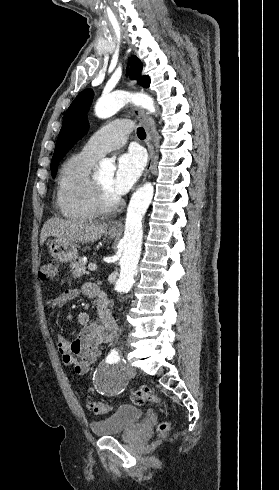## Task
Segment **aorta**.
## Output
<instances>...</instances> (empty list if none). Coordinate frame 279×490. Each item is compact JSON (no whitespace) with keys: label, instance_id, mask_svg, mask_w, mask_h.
Instances as JSON below:
<instances>
[{"label":"aorta","instance_id":"1","mask_svg":"<svg viewBox=\"0 0 279 490\" xmlns=\"http://www.w3.org/2000/svg\"><path fill=\"white\" fill-rule=\"evenodd\" d=\"M129 101L142 106L150 112H155L154 101L144 94L130 95L118 91L101 97L95 105L97 117L105 119L117 113ZM99 171L103 174L113 175L115 165L110 159L100 163ZM154 187L150 182L145 183L133 195L127 208L125 231L121 244L123 254L120 259V275L115 284L117 292H128L131 290L136 269L141 255L143 239L142 220L152 201Z\"/></svg>","mask_w":279,"mask_h":490}]
</instances>
